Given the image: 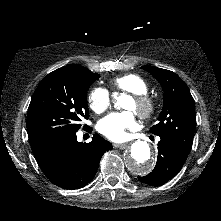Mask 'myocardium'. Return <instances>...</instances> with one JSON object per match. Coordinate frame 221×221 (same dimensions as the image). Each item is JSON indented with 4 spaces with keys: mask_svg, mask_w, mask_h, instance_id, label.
Here are the masks:
<instances>
[{
    "mask_svg": "<svg viewBox=\"0 0 221 221\" xmlns=\"http://www.w3.org/2000/svg\"><path fill=\"white\" fill-rule=\"evenodd\" d=\"M135 112L142 119H148L155 111V101L147 94H133Z\"/></svg>",
    "mask_w": 221,
    "mask_h": 221,
    "instance_id": "myocardium-1",
    "label": "myocardium"
}]
</instances>
